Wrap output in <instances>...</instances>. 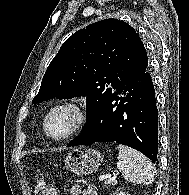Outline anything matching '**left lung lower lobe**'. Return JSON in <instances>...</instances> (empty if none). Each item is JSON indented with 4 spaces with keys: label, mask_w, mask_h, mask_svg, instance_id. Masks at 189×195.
<instances>
[{
    "label": "left lung lower lobe",
    "mask_w": 189,
    "mask_h": 195,
    "mask_svg": "<svg viewBox=\"0 0 189 195\" xmlns=\"http://www.w3.org/2000/svg\"><path fill=\"white\" fill-rule=\"evenodd\" d=\"M94 142L127 145L156 162L158 110L148 70L117 88L88 119L83 132L67 146Z\"/></svg>",
    "instance_id": "0a47b994"
}]
</instances>
